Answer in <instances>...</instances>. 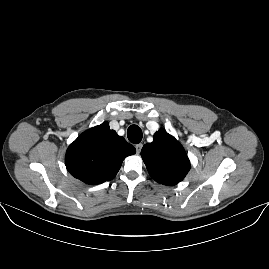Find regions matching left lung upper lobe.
<instances>
[{"mask_svg":"<svg viewBox=\"0 0 269 269\" xmlns=\"http://www.w3.org/2000/svg\"><path fill=\"white\" fill-rule=\"evenodd\" d=\"M141 156L151 177L164 185H176L190 169L185 150L164 129L154 134L152 143L143 146Z\"/></svg>","mask_w":269,"mask_h":269,"instance_id":"left-lung-upper-lobe-1","label":"left lung upper lobe"}]
</instances>
